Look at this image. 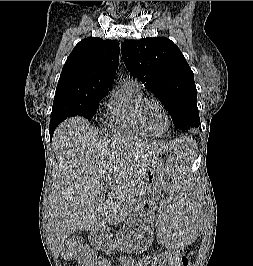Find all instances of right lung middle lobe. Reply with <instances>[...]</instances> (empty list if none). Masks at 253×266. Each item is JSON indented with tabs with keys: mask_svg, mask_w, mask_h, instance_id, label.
Listing matches in <instances>:
<instances>
[{
	"mask_svg": "<svg viewBox=\"0 0 253 266\" xmlns=\"http://www.w3.org/2000/svg\"><path fill=\"white\" fill-rule=\"evenodd\" d=\"M105 95L106 93L102 92L86 98L54 100L50 124L60 123L76 115L83 116L90 121Z\"/></svg>",
	"mask_w": 253,
	"mask_h": 266,
	"instance_id": "dd1d6c3e",
	"label": "right lung middle lobe"
}]
</instances>
